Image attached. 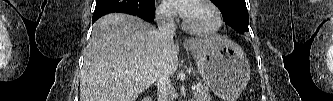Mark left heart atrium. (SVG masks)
Listing matches in <instances>:
<instances>
[{"label": "left heart atrium", "mask_w": 333, "mask_h": 101, "mask_svg": "<svg viewBox=\"0 0 333 101\" xmlns=\"http://www.w3.org/2000/svg\"><path fill=\"white\" fill-rule=\"evenodd\" d=\"M168 4L172 5L174 9L180 12L181 15H185L187 13L189 2L185 0H170L167 1Z\"/></svg>", "instance_id": "39dd6f15"}]
</instances>
